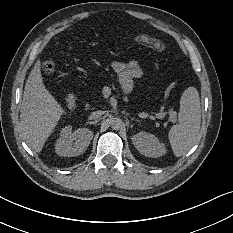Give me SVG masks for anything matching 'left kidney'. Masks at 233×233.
<instances>
[{"instance_id": "left-kidney-1", "label": "left kidney", "mask_w": 233, "mask_h": 233, "mask_svg": "<svg viewBox=\"0 0 233 233\" xmlns=\"http://www.w3.org/2000/svg\"><path fill=\"white\" fill-rule=\"evenodd\" d=\"M135 148L146 157L158 158L168 153L166 145L155 134L140 131L131 136Z\"/></svg>"}]
</instances>
